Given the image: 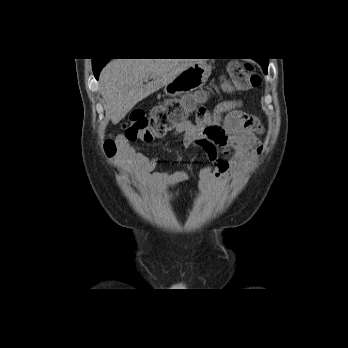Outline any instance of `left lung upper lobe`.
<instances>
[{"mask_svg": "<svg viewBox=\"0 0 348 348\" xmlns=\"http://www.w3.org/2000/svg\"><path fill=\"white\" fill-rule=\"evenodd\" d=\"M259 63L261 64L264 71H266L267 67H268V59H264V60L260 61Z\"/></svg>", "mask_w": 348, "mask_h": 348, "instance_id": "1", "label": "left lung upper lobe"}]
</instances>
